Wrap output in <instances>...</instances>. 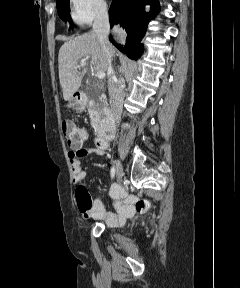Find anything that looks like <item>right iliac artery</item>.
I'll use <instances>...</instances> for the list:
<instances>
[{
	"mask_svg": "<svg viewBox=\"0 0 240 288\" xmlns=\"http://www.w3.org/2000/svg\"><path fill=\"white\" fill-rule=\"evenodd\" d=\"M115 176V169L114 167L111 168V178H114Z\"/></svg>",
	"mask_w": 240,
	"mask_h": 288,
	"instance_id": "1",
	"label": "right iliac artery"
}]
</instances>
